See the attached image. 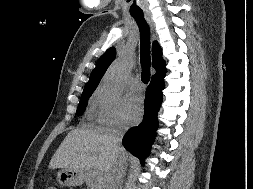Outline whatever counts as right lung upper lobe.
Wrapping results in <instances>:
<instances>
[{"mask_svg":"<svg viewBox=\"0 0 253 189\" xmlns=\"http://www.w3.org/2000/svg\"><path fill=\"white\" fill-rule=\"evenodd\" d=\"M116 56V50L114 47L109 48L98 60L95 69L90 75L89 81L84 87V91L95 90L98 86L102 76L106 72L109 65L112 63ZM152 61L153 68L156 70V73L152 77L161 76L166 73L165 62L162 58V50L160 45L157 42L153 43L152 46Z\"/></svg>","mask_w":253,"mask_h":189,"instance_id":"right-lung-upper-lobe-1","label":"right lung upper lobe"}]
</instances>
